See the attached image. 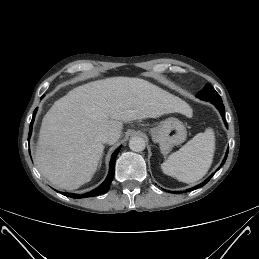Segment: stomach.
<instances>
[{
	"mask_svg": "<svg viewBox=\"0 0 259 259\" xmlns=\"http://www.w3.org/2000/svg\"><path fill=\"white\" fill-rule=\"evenodd\" d=\"M149 132L153 142L159 144L164 155L168 154L174 146L183 143L187 137L186 127L175 117L165 119Z\"/></svg>",
	"mask_w": 259,
	"mask_h": 259,
	"instance_id": "obj_1",
	"label": "stomach"
}]
</instances>
